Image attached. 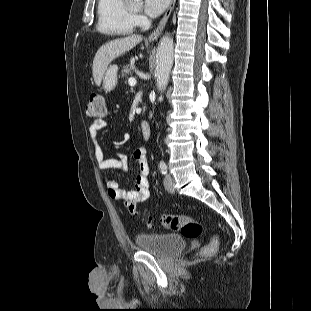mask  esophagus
Here are the masks:
<instances>
[{
    "label": "esophagus",
    "mask_w": 311,
    "mask_h": 311,
    "mask_svg": "<svg viewBox=\"0 0 311 311\" xmlns=\"http://www.w3.org/2000/svg\"><path fill=\"white\" fill-rule=\"evenodd\" d=\"M175 3H176V0H171V4L168 7V9L166 10L165 15L161 19L158 27L148 36L149 41H154L160 36V34L162 33V31H163V29L167 23V20H168L170 14H171L174 6H175Z\"/></svg>",
    "instance_id": "34e87169"
}]
</instances>
